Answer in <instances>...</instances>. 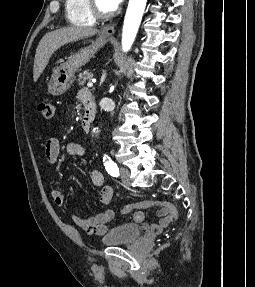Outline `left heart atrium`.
<instances>
[{"label":"left heart atrium","mask_w":255,"mask_h":287,"mask_svg":"<svg viewBox=\"0 0 255 287\" xmlns=\"http://www.w3.org/2000/svg\"><path fill=\"white\" fill-rule=\"evenodd\" d=\"M107 1H108V3H110V5H113L115 3V1H117V0H107Z\"/></svg>","instance_id":"1"}]
</instances>
